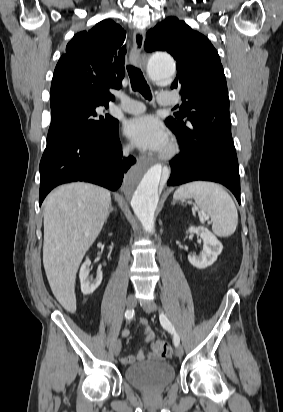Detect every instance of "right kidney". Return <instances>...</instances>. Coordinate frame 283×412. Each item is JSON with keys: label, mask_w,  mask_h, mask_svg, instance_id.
I'll use <instances>...</instances> for the list:
<instances>
[{"label": "right kidney", "mask_w": 283, "mask_h": 412, "mask_svg": "<svg viewBox=\"0 0 283 412\" xmlns=\"http://www.w3.org/2000/svg\"><path fill=\"white\" fill-rule=\"evenodd\" d=\"M91 266V261L86 258L85 262L80 268L79 278L81 283V291L83 295L92 294L102 282V271L98 270L96 278L89 276V268Z\"/></svg>", "instance_id": "right-kidney-1"}]
</instances>
